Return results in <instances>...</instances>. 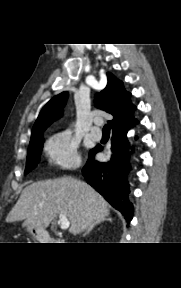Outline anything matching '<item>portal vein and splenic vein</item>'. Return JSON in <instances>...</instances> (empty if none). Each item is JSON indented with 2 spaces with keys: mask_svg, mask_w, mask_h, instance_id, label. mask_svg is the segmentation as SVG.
<instances>
[{
  "mask_svg": "<svg viewBox=\"0 0 181 288\" xmlns=\"http://www.w3.org/2000/svg\"><path fill=\"white\" fill-rule=\"evenodd\" d=\"M59 221H60V228L65 230L68 229L70 226V222L67 219L66 215L64 214H59Z\"/></svg>",
  "mask_w": 181,
  "mask_h": 288,
  "instance_id": "portal-vein-and-splenic-vein-1",
  "label": "portal vein and splenic vein"
}]
</instances>
